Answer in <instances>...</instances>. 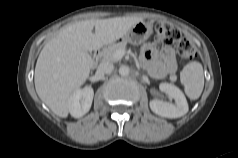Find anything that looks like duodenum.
<instances>
[{
    "instance_id": "obj_1",
    "label": "duodenum",
    "mask_w": 238,
    "mask_h": 158,
    "mask_svg": "<svg viewBox=\"0 0 238 158\" xmlns=\"http://www.w3.org/2000/svg\"><path fill=\"white\" fill-rule=\"evenodd\" d=\"M98 58H99V50H96V51L93 53V58H92L94 64L97 63Z\"/></svg>"
}]
</instances>
